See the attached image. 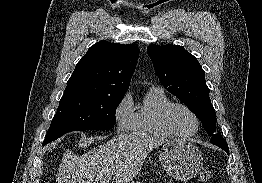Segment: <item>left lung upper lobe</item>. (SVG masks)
<instances>
[{
  "label": "left lung upper lobe",
  "instance_id": "left-lung-upper-lobe-1",
  "mask_svg": "<svg viewBox=\"0 0 262 183\" xmlns=\"http://www.w3.org/2000/svg\"><path fill=\"white\" fill-rule=\"evenodd\" d=\"M148 55L153 62L161 84L179 98L202 122L214 145H227L220 133H216V113L209 98L205 72L182 46L150 45Z\"/></svg>",
  "mask_w": 262,
  "mask_h": 183
}]
</instances>
